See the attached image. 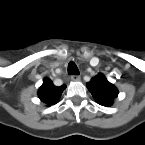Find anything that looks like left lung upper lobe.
<instances>
[{
  "label": "left lung upper lobe",
  "instance_id": "5c2ea615",
  "mask_svg": "<svg viewBox=\"0 0 145 145\" xmlns=\"http://www.w3.org/2000/svg\"><path fill=\"white\" fill-rule=\"evenodd\" d=\"M95 100L103 106H111L118 95L116 87L107 81L103 74H98L87 83Z\"/></svg>",
  "mask_w": 145,
  "mask_h": 145
}]
</instances>
